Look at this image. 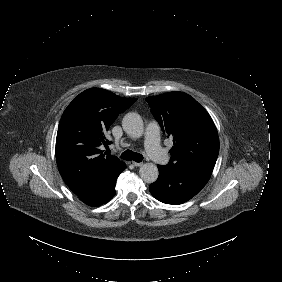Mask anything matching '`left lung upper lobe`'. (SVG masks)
Segmentation results:
<instances>
[{
  "instance_id": "5c2ea615",
  "label": "left lung upper lobe",
  "mask_w": 282,
  "mask_h": 282,
  "mask_svg": "<svg viewBox=\"0 0 282 282\" xmlns=\"http://www.w3.org/2000/svg\"><path fill=\"white\" fill-rule=\"evenodd\" d=\"M154 117L172 139L173 168H214L219 153V138L207 111L190 95L169 92L147 97Z\"/></svg>"
}]
</instances>
